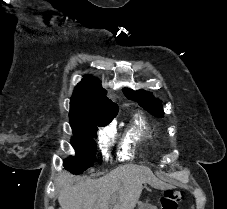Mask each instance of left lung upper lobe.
<instances>
[{
    "mask_svg": "<svg viewBox=\"0 0 227 209\" xmlns=\"http://www.w3.org/2000/svg\"><path fill=\"white\" fill-rule=\"evenodd\" d=\"M123 92L128 99L137 101L140 106L152 115L163 117L164 112L162 110V105L151 93L144 90L133 91L127 88L123 89Z\"/></svg>",
    "mask_w": 227,
    "mask_h": 209,
    "instance_id": "left-lung-upper-lobe-1",
    "label": "left lung upper lobe"
}]
</instances>
